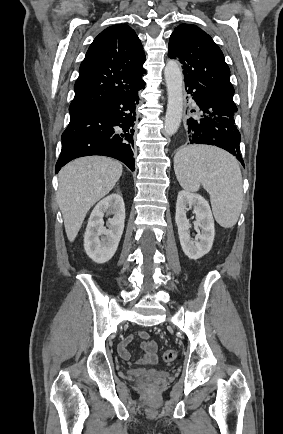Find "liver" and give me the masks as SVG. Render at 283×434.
<instances>
[{
  "instance_id": "1",
  "label": "liver",
  "mask_w": 283,
  "mask_h": 434,
  "mask_svg": "<svg viewBox=\"0 0 283 434\" xmlns=\"http://www.w3.org/2000/svg\"><path fill=\"white\" fill-rule=\"evenodd\" d=\"M122 175V165L102 156L78 158L58 174L57 203L67 238L73 242L89 209L107 195Z\"/></svg>"
}]
</instances>
